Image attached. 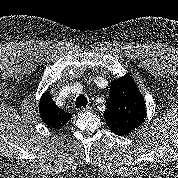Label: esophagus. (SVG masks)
Here are the masks:
<instances>
[{
    "instance_id": "34e87169",
    "label": "esophagus",
    "mask_w": 178,
    "mask_h": 178,
    "mask_svg": "<svg viewBox=\"0 0 178 178\" xmlns=\"http://www.w3.org/2000/svg\"><path fill=\"white\" fill-rule=\"evenodd\" d=\"M93 107L92 106H87V107H81L79 108L80 112H87V111H92Z\"/></svg>"
}]
</instances>
